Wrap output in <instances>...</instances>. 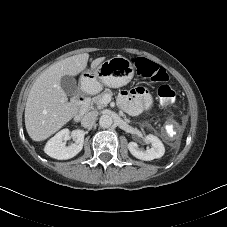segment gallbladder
Masks as SVG:
<instances>
[{"instance_id":"gallbladder-1","label":"gallbladder","mask_w":227,"mask_h":227,"mask_svg":"<svg viewBox=\"0 0 227 227\" xmlns=\"http://www.w3.org/2000/svg\"><path fill=\"white\" fill-rule=\"evenodd\" d=\"M60 85L68 96H73L79 92L76 79L73 76L70 75L62 76Z\"/></svg>"}]
</instances>
